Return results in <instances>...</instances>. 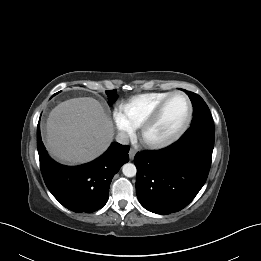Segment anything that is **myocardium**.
Here are the masks:
<instances>
[{"mask_svg": "<svg viewBox=\"0 0 261 261\" xmlns=\"http://www.w3.org/2000/svg\"><path fill=\"white\" fill-rule=\"evenodd\" d=\"M182 96L187 103L188 112L187 117L183 125L172 135L160 138V139H151L148 137L149 130L155 125L157 120L159 119L162 111L164 110L168 101L174 96ZM193 118V105L189 98V96L184 93L183 91H173L169 93L151 112V114L145 119L142 125L139 127V140L140 142L148 147V148H163L166 147L174 142H176L179 138H181L184 133L190 127L191 121Z\"/></svg>", "mask_w": 261, "mask_h": 261, "instance_id": "f54148a6", "label": "myocardium"}]
</instances>
